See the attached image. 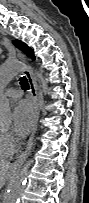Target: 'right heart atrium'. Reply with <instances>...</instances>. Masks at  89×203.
I'll use <instances>...</instances> for the list:
<instances>
[{
	"label": "right heart atrium",
	"mask_w": 89,
	"mask_h": 203,
	"mask_svg": "<svg viewBox=\"0 0 89 203\" xmlns=\"http://www.w3.org/2000/svg\"><path fill=\"white\" fill-rule=\"evenodd\" d=\"M5 139H6V142L9 144V146H11L12 148L15 149L18 141L17 139L15 138V136L11 133H6L5 134Z\"/></svg>",
	"instance_id": "1"
}]
</instances>
